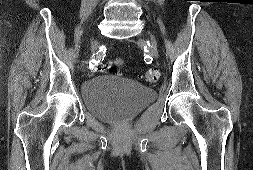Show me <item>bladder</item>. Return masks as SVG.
Wrapping results in <instances>:
<instances>
[{"label": "bladder", "instance_id": "31cf9c89", "mask_svg": "<svg viewBox=\"0 0 253 170\" xmlns=\"http://www.w3.org/2000/svg\"><path fill=\"white\" fill-rule=\"evenodd\" d=\"M81 94L88 111L108 122L130 120L156 99L153 88L110 74L86 81Z\"/></svg>", "mask_w": 253, "mask_h": 170}]
</instances>
